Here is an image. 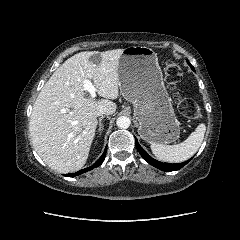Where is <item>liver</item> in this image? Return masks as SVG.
<instances>
[{"instance_id": "1", "label": "liver", "mask_w": 240, "mask_h": 240, "mask_svg": "<svg viewBox=\"0 0 240 240\" xmlns=\"http://www.w3.org/2000/svg\"><path fill=\"white\" fill-rule=\"evenodd\" d=\"M124 49L85 51L67 59L49 78L33 105L29 123L35 151L60 173L81 169L88 158L97 121V112L116 111L111 101L119 94V60ZM99 55L100 62L91 57ZM92 80L99 96H86L84 80Z\"/></svg>"}]
</instances>
